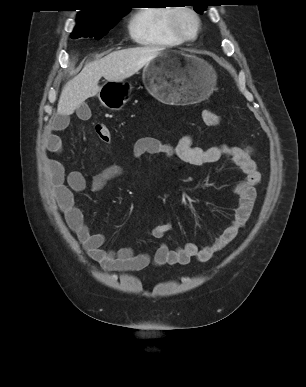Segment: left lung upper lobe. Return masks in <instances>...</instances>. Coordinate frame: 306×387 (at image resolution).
I'll list each match as a JSON object with an SVG mask.
<instances>
[{
  "label": "left lung upper lobe",
  "mask_w": 306,
  "mask_h": 387,
  "mask_svg": "<svg viewBox=\"0 0 306 387\" xmlns=\"http://www.w3.org/2000/svg\"><path fill=\"white\" fill-rule=\"evenodd\" d=\"M192 1L195 3L194 10L199 14H202L203 11L206 10L207 6L212 5L211 0H192Z\"/></svg>",
  "instance_id": "left-lung-upper-lobe-1"
}]
</instances>
